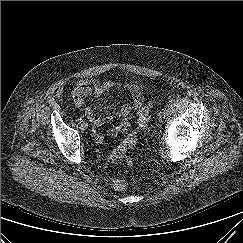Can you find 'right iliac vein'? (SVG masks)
Masks as SVG:
<instances>
[{
    "instance_id": "obj_1",
    "label": "right iliac vein",
    "mask_w": 243,
    "mask_h": 243,
    "mask_svg": "<svg viewBox=\"0 0 243 243\" xmlns=\"http://www.w3.org/2000/svg\"><path fill=\"white\" fill-rule=\"evenodd\" d=\"M87 127H88L87 122H85V121H81V122H80V129H81V130H86Z\"/></svg>"
}]
</instances>
